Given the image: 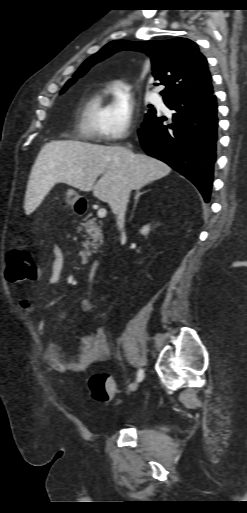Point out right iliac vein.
<instances>
[{"mask_svg": "<svg viewBox=\"0 0 247 513\" xmlns=\"http://www.w3.org/2000/svg\"><path fill=\"white\" fill-rule=\"evenodd\" d=\"M136 388H137V385H136V384H132V385L129 387V389H128V393H131V392L135 391V390H136Z\"/></svg>", "mask_w": 247, "mask_h": 513, "instance_id": "63e3f726", "label": "right iliac vein"}]
</instances>
